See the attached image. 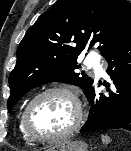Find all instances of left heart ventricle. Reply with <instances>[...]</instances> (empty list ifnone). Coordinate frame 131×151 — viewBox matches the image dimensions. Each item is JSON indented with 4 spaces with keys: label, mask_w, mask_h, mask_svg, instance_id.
I'll return each mask as SVG.
<instances>
[{
    "label": "left heart ventricle",
    "mask_w": 131,
    "mask_h": 151,
    "mask_svg": "<svg viewBox=\"0 0 131 151\" xmlns=\"http://www.w3.org/2000/svg\"><path fill=\"white\" fill-rule=\"evenodd\" d=\"M74 117L72 102L61 94L39 99L28 116L30 130L37 136H53L64 131Z\"/></svg>",
    "instance_id": "1"
}]
</instances>
